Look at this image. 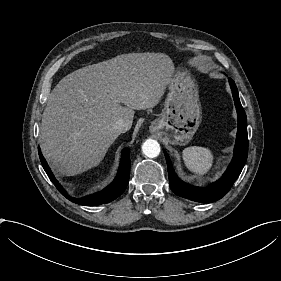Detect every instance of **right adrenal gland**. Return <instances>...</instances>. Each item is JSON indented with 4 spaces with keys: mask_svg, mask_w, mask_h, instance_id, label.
<instances>
[{
    "mask_svg": "<svg viewBox=\"0 0 281 281\" xmlns=\"http://www.w3.org/2000/svg\"><path fill=\"white\" fill-rule=\"evenodd\" d=\"M114 143H115V141H113L111 145H113Z\"/></svg>",
    "mask_w": 281,
    "mask_h": 281,
    "instance_id": "obj_1",
    "label": "right adrenal gland"
}]
</instances>
